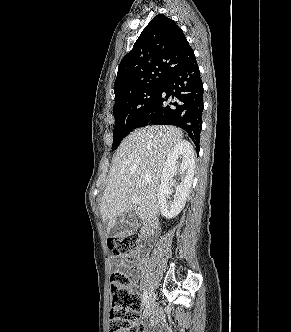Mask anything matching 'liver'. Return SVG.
<instances>
[{"label": "liver", "instance_id": "obj_1", "mask_svg": "<svg viewBox=\"0 0 291 332\" xmlns=\"http://www.w3.org/2000/svg\"><path fill=\"white\" fill-rule=\"evenodd\" d=\"M182 132L173 126H147L134 130L116 150L101 199L100 212L107 234L117 217L132 210V195L139 196L136 213L141 219L159 213L157 193L166 157L182 141Z\"/></svg>", "mask_w": 291, "mask_h": 332}]
</instances>
